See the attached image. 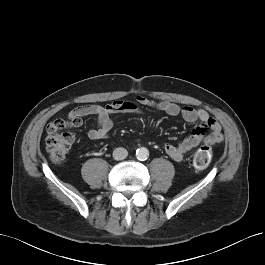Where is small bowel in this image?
<instances>
[{"instance_id": "obj_1", "label": "small bowel", "mask_w": 265, "mask_h": 265, "mask_svg": "<svg viewBox=\"0 0 265 265\" xmlns=\"http://www.w3.org/2000/svg\"><path fill=\"white\" fill-rule=\"evenodd\" d=\"M140 107L161 111L171 117L180 116L189 123L197 121L200 123L188 137L178 144L166 143L164 145L165 153L174 161L183 160L190 150L202 142L214 144L221 142L223 139L220 125L205 110L194 109L190 106H180L167 101L155 102L144 96L137 97L136 103L118 100L106 106L96 104L80 106L68 113V119L71 120L73 127H79L82 124L83 117L96 116L97 125L95 128L89 129L87 135L92 140H100L106 138L113 128V115L141 114ZM207 132H209V135H207Z\"/></svg>"}]
</instances>
